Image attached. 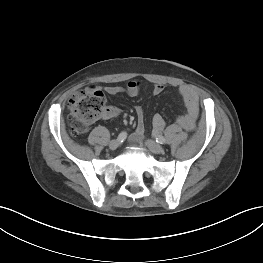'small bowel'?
<instances>
[{
    "label": "small bowel",
    "mask_w": 263,
    "mask_h": 263,
    "mask_svg": "<svg viewBox=\"0 0 263 263\" xmlns=\"http://www.w3.org/2000/svg\"><path fill=\"white\" fill-rule=\"evenodd\" d=\"M97 88V87H96ZM164 86L161 84H155L152 87V94L159 95L163 92ZM106 93L109 95H117L120 93H127L131 97L139 95L141 91V84L138 81L132 80L127 83L126 87L121 86H107L105 87ZM179 92L183 98L186 107V114L178 118L179 123L182 127L186 129L193 128L195 121L198 117L199 104L198 96L196 92L188 85H181L179 87ZM137 116V128L135 132L131 135V140L133 142H138L141 140L144 132V111L141 106L135 108ZM118 109L113 106H108L102 115L104 119H110L118 114ZM165 125V122L160 114H155L152 119V126L155 133L160 132Z\"/></svg>",
    "instance_id": "1"
}]
</instances>
